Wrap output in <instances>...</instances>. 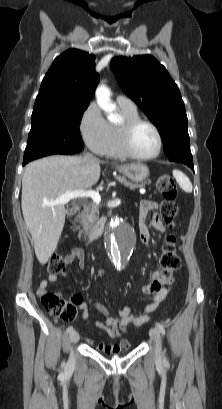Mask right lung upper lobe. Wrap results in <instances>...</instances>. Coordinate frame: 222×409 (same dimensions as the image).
<instances>
[{
  "instance_id": "obj_1",
  "label": "right lung upper lobe",
  "mask_w": 222,
  "mask_h": 409,
  "mask_svg": "<svg viewBox=\"0 0 222 409\" xmlns=\"http://www.w3.org/2000/svg\"><path fill=\"white\" fill-rule=\"evenodd\" d=\"M95 56L78 49L59 55L46 73L33 109L60 104H89L98 83Z\"/></svg>"
}]
</instances>
